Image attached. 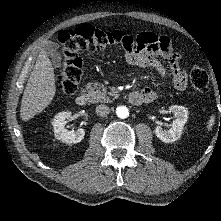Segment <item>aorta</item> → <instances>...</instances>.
Returning <instances> with one entry per match:
<instances>
[{"label": "aorta", "mask_w": 221, "mask_h": 221, "mask_svg": "<svg viewBox=\"0 0 221 221\" xmlns=\"http://www.w3.org/2000/svg\"><path fill=\"white\" fill-rule=\"evenodd\" d=\"M116 114L119 118H127L129 116V110L128 108L124 107V106H119L116 109Z\"/></svg>", "instance_id": "aorta-1"}]
</instances>
